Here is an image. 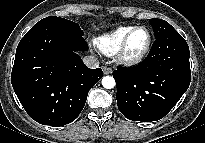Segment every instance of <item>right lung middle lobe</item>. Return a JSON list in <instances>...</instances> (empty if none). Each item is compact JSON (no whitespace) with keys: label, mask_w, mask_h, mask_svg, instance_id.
Returning a JSON list of instances; mask_svg holds the SVG:
<instances>
[{"label":"right lung middle lobe","mask_w":205,"mask_h":143,"mask_svg":"<svg viewBox=\"0 0 205 143\" xmlns=\"http://www.w3.org/2000/svg\"><path fill=\"white\" fill-rule=\"evenodd\" d=\"M38 23H54L56 25H59L65 29L72 31L75 34H78L80 36L84 35V32L81 30L80 26L77 23L64 18L51 16L40 20Z\"/></svg>","instance_id":"1"}]
</instances>
